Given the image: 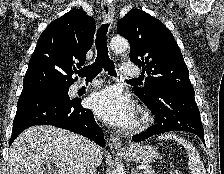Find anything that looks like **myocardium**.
<instances>
[{"label": "myocardium", "instance_id": "f54148a6", "mask_svg": "<svg viewBox=\"0 0 224 174\" xmlns=\"http://www.w3.org/2000/svg\"><path fill=\"white\" fill-rule=\"evenodd\" d=\"M150 119L148 115L141 111L135 117L134 122L129 126L128 130L130 132H139L144 130L149 125Z\"/></svg>", "mask_w": 224, "mask_h": 174}]
</instances>
